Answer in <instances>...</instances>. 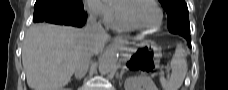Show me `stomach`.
I'll list each match as a JSON object with an SVG mask.
<instances>
[{
    "label": "stomach",
    "mask_w": 228,
    "mask_h": 90,
    "mask_svg": "<svg viewBox=\"0 0 228 90\" xmlns=\"http://www.w3.org/2000/svg\"><path fill=\"white\" fill-rule=\"evenodd\" d=\"M122 45L126 50L129 49L126 43H122ZM138 47L140 48L139 50L137 48L129 50V53L132 55L129 64L143 70L157 68L161 58V49L150 40L141 42Z\"/></svg>",
    "instance_id": "0dacf381"
}]
</instances>
